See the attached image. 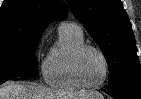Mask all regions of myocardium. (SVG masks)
<instances>
[{
    "mask_svg": "<svg viewBox=\"0 0 141 99\" xmlns=\"http://www.w3.org/2000/svg\"><path fill=\"white\" fill-rule=\"evenodd\" d=\"M88 50H93V51L97 52L101 56V58L103 59V62H104V68H105L104 77H103L102 81L97 84H88L87 82H85V80L83 79L82 74H81V67H80L81 59H82L83 55L85 54V52H87ZM72 65H73L74 76H75L77 82L83 88L98 89L106 83V81L108 80L109 75H110V65H109V60H108L106 54L104 53V51L102 49H100L99 47L94 46V45L83 44L82 46H80L76 50V52L73 56Z\"/></svg>",
    "mask_w": 141,
    "mask_h": 99,
    "instance_id": "myocardium-1",
    "label": "myocardium"
}]
</instances>
